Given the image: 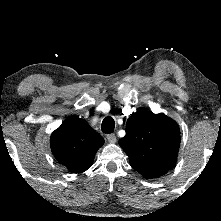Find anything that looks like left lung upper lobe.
<instances>
[{"instance_id":"left-lung-upper-lobe-1","label":"left lung upper lobe","mask_w":221,"mask_h":221,"mask_svg":"<svg viewBox=\"0 0 221 221\" xmlns=\"http://www.w3.org/2000/svg\"><path fill=\"white\" fill-rule=\"evenodd\" d=\"M119 145L128 154L133 169L146 178H156L175 165L180 129L165 114L139 110L128 118L126 135Z\"/></svg>"}]
</instances>
